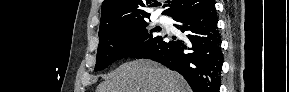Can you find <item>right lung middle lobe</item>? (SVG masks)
Returning a JSON list of instances; mask_svg holds the SVG:
<instances>
[{
  "label": "right lung middle lobe",
  "instance_id": "right-lung-middle-lobe-1",
  "mask_svg": "<svg viewBox=\"0 0 289 92\" xmlns=\"http://www.w3.org/2000/svg\"><path fill=\"white\" fill-rule=\"evenodd\" d=\"M160 31L152 28L148 19L119 22L105 30L99 31V46L95 71L103 70L118 59L127 57V51L132 57L161 41L157 36Z\"/></svg>",
  "mask_w": 289,
  "mask_h": 92
}]
</instances>
